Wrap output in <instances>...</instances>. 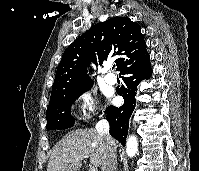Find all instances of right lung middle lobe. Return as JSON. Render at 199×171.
Instances as JSON below:
<instances>
[{
	"label": "right lung middle lobe",
	"mask_w": 199,
	"mask_h": 171,
	"mask_svg": "<svg viewBox=\"0 0 199 171\" xmlns=\"http://www.w3.org/2000/svg\"><path fill=\"white\" fill-rule=\"evenodd\" d=\"M92 84L87 85L74 93L47 107L46 120L48 130L66 129L74 125V118L71 115L72 103L84 92L90 90Z\"/></svg>",
	"instance_id": "obj_1"
}]
</instances>
